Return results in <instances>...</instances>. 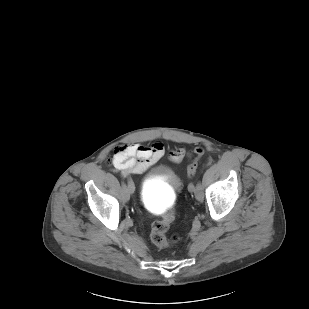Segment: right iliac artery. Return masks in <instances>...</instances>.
I'll use <instances>...</instances> for the list:
<instances>
[{
  "mask_svg": "<svg viewBox=\"0 0 309 309\" xmlns=\"http://www.w3.org/2000/svg\"><path fill=\"white\" fill-rule=\"evenodd\" d=\"M120 174L121 175H124L125 174V171L124 170H121L120 171ZM125 176H126V180H127V184H128V188H129V191L130 192H133L134 191V182L132 181L133 179H132V177H131V174L130 173H126L125 174ZM125 186V185H124Z\"/></svg>",
  "mask_w": 309,
  "mask_h": 309,
  "instance_id": "obj_1",
  "label": "right iliac artery"
}]
</instances>
